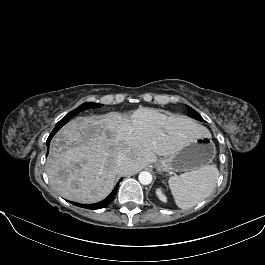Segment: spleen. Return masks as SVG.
I'll return each mask as SVG.
<instances>
[{
	"instance_id": "spleen-1",
	"label": "spleen",
	"mask_w": 265,
	"mask_h": 265,
	"mask_svg": "<svg viewBox=\"0 0 265 265\" xmlns=\"http://www.w3.org/2000/svg\"><path fill=\"white\" fill-rule=\"evenodd\" d=\"M218 177L216 165H206L179 176H171L168 183L176 205L182 209L195 206L210 195Z\"/></svg>"
}]
</instances>
